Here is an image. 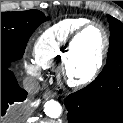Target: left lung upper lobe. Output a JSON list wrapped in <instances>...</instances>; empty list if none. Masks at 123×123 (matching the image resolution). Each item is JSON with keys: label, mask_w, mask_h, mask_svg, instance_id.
<instances>
[{"label": "left lung upper lobe", "mask_w": 123, "mask_h": 123, "mask_svg": "<svg viewBox=\"0 0 123 123\" xmlns=\"http://www.w3.org/2000/svg\"><path fill=\"white\" fill-rule=\"evenodd\" d=\"M107 18L110 24V45L107 63L100 75L109 80L123 73V23L110 15Z\"/></svg>", "instance_id": "left-lung-upper-lobe-1"}]
</instances>
